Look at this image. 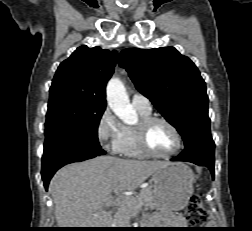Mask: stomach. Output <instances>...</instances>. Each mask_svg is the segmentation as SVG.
I'll list each match as a JSON object with an SVG mask.
<instances>
[{"instance_id":"1","label":"stomach","mask_w":252,"mask_h":231,"mask_svg":"<svg viewBox=\"0 0 252 231\" xmlns=\"http://www.w3.org/2000/svg\"><path fill=\"white\" fill-rule=\"evenodd\" d=\"M153 207L160 211H179L193 195L194 174L183 163H171L153 174Z\"/></svg>"}]
</instances>
